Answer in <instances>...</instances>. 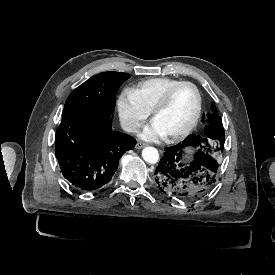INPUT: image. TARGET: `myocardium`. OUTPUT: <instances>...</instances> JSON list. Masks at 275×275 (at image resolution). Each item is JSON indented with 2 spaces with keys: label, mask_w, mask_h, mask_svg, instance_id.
<instances>
[{
  "label": "myocardium",
  "mask_w": 275,
  "mask_h": 275,
  "mask_svg": "<svg viewBox=\"0 0 275 275\" xmlns=\"http://www.w3.org/2000/svg\"><path fill=\"white\" fill-rule=\"evenodd\" d=\"M184 84L191 85L194 88V90L196 92V96H197V107H196V111H195L193 118L191 119V121L188 123L187 126H185L183 129H181L177 132L166 135L169 139H172V140L186 136L193 130V128L198 123L200 116H201V112H202V94H201L199 87L194 82L189 81V80L177 81L176 83L172 84L171 86H169L166 89V91L164 92V94L162 95V97L160 98V100L158 101V103L156 104L154 109L152 110V121H154L155 116L160 111H162L169 103V100H170L173 92L175 91V89L181 85H184Z\"/></svg>",
  "instance_id": "1"
}]
</instances>
